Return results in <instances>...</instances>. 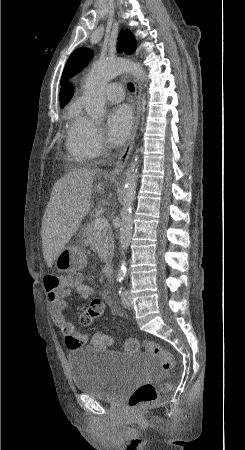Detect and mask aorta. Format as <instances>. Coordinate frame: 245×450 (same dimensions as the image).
Segmentation results:
<instances>
[{"label":"aorta","instance_id":"762f6f07","mask_svg":"<svg viewBox=\"0 0 245 450\" xmlns=\"http://www.w3.org/2000/svg\"><path fill=\"white\" fill-rule=\"evenodd\" d=\"M124 72L132 74L137 80L145 79L144 69L129 59L117 58L93 64L84 86L85 108L93 120H100L105 113V85L113 77ZM137 180V163L132 161L126 172L121 209L120 247L124 257L132 236V206L136 196ZM126 273L127 268L123 262L119 268V275L125 277Z\"/></svg>","mask_w":245,"mask_h":450}]
</instances>
